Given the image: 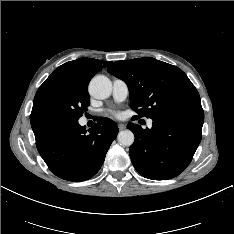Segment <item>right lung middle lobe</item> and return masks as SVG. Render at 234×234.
Returning <instances> with one entry per match:
<instances>
[{
	"mask_svg": "<svg viewBox=\"0 0 234 234\" xmlns=\"http://www.w3.org/2000/svg\"><path fill=\"white\" fill-rule=\"evenodd\" d=\"M88 90L66 84L46 90L34 105L31 115L62 116L78 120L90 105Z\"/></svg>",
	"mask_w": 234,
	"mask_h": 234,
	"instance_id": "right-lung-middle-lobe-1",
	"label": "right lung middle lobe"
}]
</instances>
